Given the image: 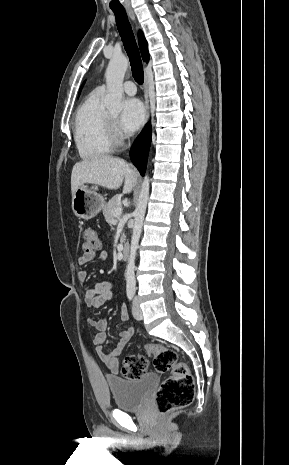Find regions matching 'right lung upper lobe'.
I'll list each match as a JSON object with an SVG mask.
<instances>
[{
  "label": "right lung upper lobe",
  "instance_id": "cb5924a9",
  "mask_svg": "<svg viewBox=\"0 0 289 465\" xmlns=\"http://www.w3.org/2000/svg\"><path fill=\"white\" fill-rule=\"evenodd\" d=\"M138 40H139V47H140V51H141V55H142V58L144 61H148L149 59V53H148V49H147V42L144 38V35L141 31H139V35H138Z\"/></svg>",
  "mask_w": 289,
  "mask_h": 465
}]
</instances>
